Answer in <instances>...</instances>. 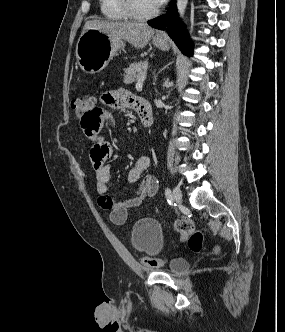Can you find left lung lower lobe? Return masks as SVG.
<instances>
[{
	"mask_svg": "<svg viewBox=\"0 0 285 332\" xmlns=\"http://www.w3.org/2000/svg\"><path fill=\"white\" fill-rule=\"evenodd\" d=\"M148 24L151 27L160 30L165 29V27L167 26V32L169 33V36L173 39L179 49L187 56L192 55L191 44L189 42L187 34L185 33L182 23H180L179 21L177 9L174 3L171 9L167 12V15H163L159 18L151 20L148 22Z\"/></svg>",
	"mask_w": 285,
	"mask_h": 332,
	"instance_id": "0a47b994",
	"label": "left lung lower lobe"
}]
</instances>
